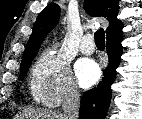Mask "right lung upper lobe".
<instances>
[{"label":"right lung upper lobe","mask_w":142,"mask_h":119,"mask_svg":"<svg viewBox=\"0 0 142 119\" xmlns=\"http://www.w3.org/2000/svg\"><path fill=\"white\" fill-rule=\"evenodd\" d=\"M119 0H85L84 8L92 16L104 17L109 21L106 29L107 38L122 34L123 24L117 19ZM60 16V7L52 3L37 17L31 37L23 54L22 65L33 60L40 45L47 34L57 25Z\"/></svg>","instance_id":"1"}]
</instances>
